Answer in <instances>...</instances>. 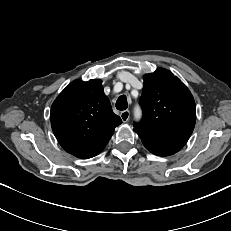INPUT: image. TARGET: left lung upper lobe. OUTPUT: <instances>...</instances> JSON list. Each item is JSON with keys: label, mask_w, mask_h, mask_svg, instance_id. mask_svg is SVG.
<instances>
[{"label": "left lung upper lobe", "mask_w": 231, "mask_h": 231, "mask_svg": "<svg viewBox=\"0 0 231 231\" xmlns=\"http://www.w3.org/2000/svg\"><path fill=\"white\" fill-rule=\"evenodd\" d=\"M143 86V118L134 123V131L144 143L178 152L195 126L196 106L191 92L165 69L144 75Z\"/></svg>", "instance_id": "1"}]
</instances>
